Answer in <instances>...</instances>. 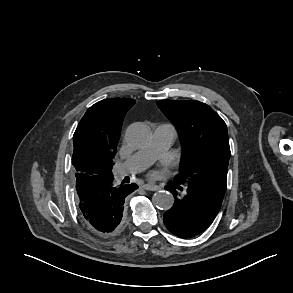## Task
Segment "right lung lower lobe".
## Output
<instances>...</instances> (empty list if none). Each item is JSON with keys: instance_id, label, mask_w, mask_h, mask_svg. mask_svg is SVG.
I'll list each match as a JSON object with an SVG mask.
<instances>
[{"instance_id": "98d812e1", "label": "right lung lower lobe", "mask_w": 293, "mask_h": 293, "mask_svg": "<svg viewBox=\"0 0 293 293\" xmlns=\"http://www.w3.org/2000/svg\"><path fill=\"white\" fill-rule=\"evenodd\" d=\"M77 203L86 227L99 236H111L123 226L125 198L136 184L113 186V176L75 174Z\"/></svg>"}]
</instances>
